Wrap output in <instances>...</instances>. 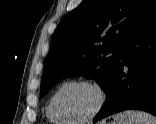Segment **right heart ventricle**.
<instances>
[{
  "instance_id": "1",
  "label": "right heart ventricle",
  "mask_w": 156,
  "mask_h": 124,
  "mask_svg": "<svg viewBox=\"0 0 156 124\" xmlns=\"http://www.w3.org/2000/svg\"><path fill=\"white\" fill-rule=\"evenodd\" d=\"M51 99L52 97L49 99L48 103H47V107H46V117L48 119L49 122L53 123V124H66L64 121H62L61 119L57 118L52 110H51Z\"/></svg>"
}]
</instances>
